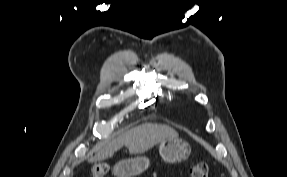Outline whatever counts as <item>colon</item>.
Instances as JSON below:
<instances>
[{
  "instance_id": "5ec220e1",
  "label": "colon",
  "mask_w": 287,
  "mask_h": 177,
  "mask_svg": "<svg viewBox=\"0 0 287 177\" xmlns=\"http://www.w3.org/2000/svg\"><path fill=\"white\" fill-rule=\"evenodd\" d=\"M109 165L105 162L96 163L91 169L92 177H105ZM209 166L206 162H198L189 168V177H208Z\"/></svg>"
}]
</instances>
